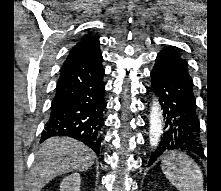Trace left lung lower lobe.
Returning <instances> with one entry per match:
<instances>
[{"label": "left lung lower lobe", "mask_w": 221, "mask_h": 191, "mask_svg": "<svg viewBox=\"0 0 221 191\" xmlns=\"http://www.w3.org/2000/svg\"><path fill=\"white\" fill-rule=\"evenodd\" d=\"M151 77L153 91L163 109L165 127L148 166L175 150L202 157L200 123L188 63L175 50L164 48L157 55Z\"/></svg>", "instance_id": "1"}]
</instances>
